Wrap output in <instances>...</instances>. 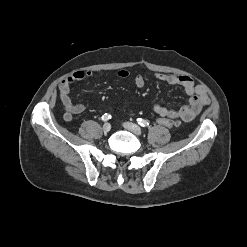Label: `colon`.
Listing matches in <instances>:
<instances>
[{"instance_id": "colon-1", "label": "colon", "mask_w": 247, "mask_h": 247, "mask_svg": "<svg viewBox=\"0 0 247 247\" xmlns=\"http://www.w3.org/2000/svg\"><path fill=\"white\" fill-rule=\"evenodd\" d=\"M157 123L159 125H162L164 127H168V128H172L176 125V121L171 119V118H167V117H159L157 118Z\"/></svg>"}]
</instances>
